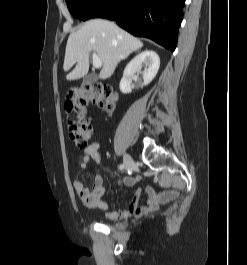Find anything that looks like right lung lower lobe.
Listing matches in <instances>:
<instances>
[{
    "instance_id": "98d812e1",
    "label": "right lung lower lobe",
    "mask_w": 247,
    "mask_h": 265,
    "mask_svg": "<svg viewBox=\"0 0 247 265\" xmlns=\"http://www.w3.org/2000/svg\"><path fill=\"white\" fill-rule=\"evenodd\" d=\"M185 0H101L82 20L107 18L131 34L175 50Z\"/></svg>"
}]
</instances>
